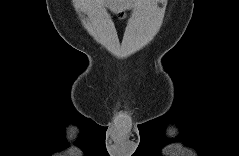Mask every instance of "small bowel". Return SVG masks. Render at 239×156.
Returning <instances> with one entry per match:
<instances>
[{
  "label": "small bowel",
  "instance_id": "1",
  "mask_svg": "<svg viewBox=\"0 0 239 156\" xmlns=\"http://www.w3.org/2000/svg\"><path fill=\"white\" fill-rule=\"evenodd\" d=\"M102 3L121 19L124 18L127 11L136 10L141 6V1L137 0H109Z\"/></svg>",
  "mask_w": 239,
  "mask_h": 156
}]
</instances>
